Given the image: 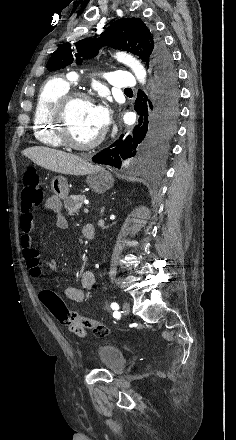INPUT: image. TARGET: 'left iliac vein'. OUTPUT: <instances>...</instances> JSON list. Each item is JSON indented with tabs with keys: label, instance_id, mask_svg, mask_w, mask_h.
<instances>
[{
	"label": "left iliac vein",
	"instance_id": "obj_1",
	"mask_svg": "<svg viewBox=\"0 0 236 440\" xmlns=\"http://www.w3.org/2000/svg\"><path fill=\"white\" fill-rule=\"evenodd\" d=\"M122 310H123V313L125 315H129L130 314V310H131L130 304L128 302H124L123 306H122Z\"/></svg>",
	"mask_w": 236,
	"mask_h": 440
}]
</instances>
